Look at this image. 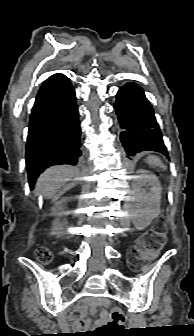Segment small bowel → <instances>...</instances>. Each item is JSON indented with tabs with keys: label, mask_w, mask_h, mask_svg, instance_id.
<instances>
[{
	"label": "small bowel",
	"mask_w": 194,
	"mask_h": 336,
	"mask_svg": "<svg viewBox=\"0 0 194 336\" xmlns=\"http://www.w3.org/2000/svg\"><path fill=\"white\" fill-rule=\"evenodd\" d=\"M84 322H85L84 318H77L76 319V323L79 324V325L83 324Z\"/></svg>",
	"instance_id": "small-bowel-1"
}]
</instances>
